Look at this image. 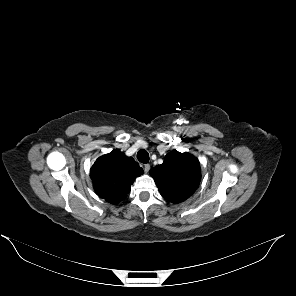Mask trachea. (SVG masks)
<instances>
[{
    "instance_id": "3493384b",
    "label": "trachea",
    "mask_w": 296,
    "mask_h": 296,
    "mask_svg": "<svg viewBox=\"0 0 296 296\" xmlns=\"http://www.w3.org/2000/svg\"><path fill=\"white\" fill-rule=\"evenodd\" d=\"M137 159L141 162V163H148L149 162V154L146 150L141 149L138 151L137 153Z\"/></svg>"
}]
</instances>
